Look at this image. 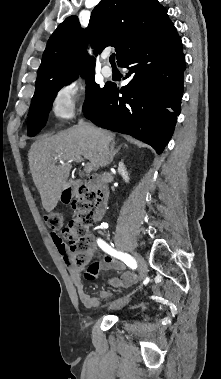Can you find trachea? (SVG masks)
<instances>
[{"label":"trachea","instance_id":"obj_1","mask_svg":"<svg viewBox=\"0 0 221 379\" xmlns=\"http://www.w3.org/2000/svg\"><path fill=\"white\" fill-rule=\"evenodd\" d=\"M110 63H111L112 65H115V54H112V55L110 56Z\"/></svg>","mask_w":221,"mask_h":379}]
</instances>
